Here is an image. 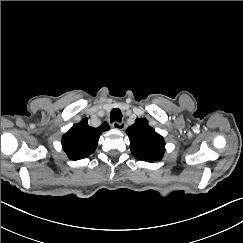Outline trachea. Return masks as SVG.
<instances>
[{
    "mask_svg": "<svg viewBox=\"0 0 243 243\" xmlns=\"http://www.w3.org/2000/svg\"><path fill=\"white\" fill-rule=\"evenodd\" d=\"M110 120L111 122H121L122 120V113L118 108H114L110 112Z\"/></svg>",
    "mask_w": 243,
    "mask_h": 243,
    "instance_id": "trachea-1",
    "label": "trachea"
}]
</instances>
